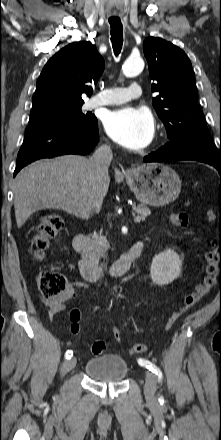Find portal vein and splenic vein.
<instances>
[{
    "mask_svg": "<svg viewBox=\"0 0 221 440\" xmlns=\"http://www.w3.org/2000/svg\"><path fill=\"white\" fill-rule=\"evenodd\" d=\"M135 223H139L141 221V217L138 215L134 219Z\"/></svg>",
    "mask_w": 221,
    "mask_h": 440,
    "instance_id": "obj_1",
    "label": "portal vein and splenic vein"
}]
</instances>
